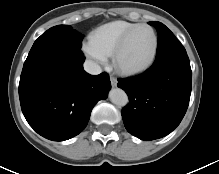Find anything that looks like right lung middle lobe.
<instances>
[{
    "mask_svg": "<svg viewBox=\"0 0 219 174\" xmlns=\"http://www.w3.org/2000/svg\"><path fill=\"white\" fill-rule=\"evenodd\" d=\"M83 35L69 25H57L45 31L33 44L25 62L55 47L81 49Z\"/></svg>",
    "mask_w": 219,
    "mask_h": 174,
    "instance_id": "1",
    "label": "right lung middle lobe"
}]
</instances>
